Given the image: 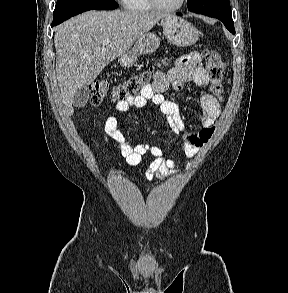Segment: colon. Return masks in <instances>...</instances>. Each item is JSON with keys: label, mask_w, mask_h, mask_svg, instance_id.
<instances>
[{"label": "colon", "mask_w": 288, "mask_h": 293, "mask_svg": "<svg viewBox=\"0 0 288 293\" xmlns=\"http://www.w3.org/2000/svg\"><path fill=\"white\" fill-rule=\"evenodd\" d=\"M207 61V71L210 81V91L218 98L223 94V76L225 65L220 55L215 49H207L204 53ZM154 69L151 67L140 74L134 75L124 82L112 88V99L115 102L125 101L128 98L137 96L143 89L150 85V80ZM110 84L107 80H97L91 86V102L100 104L107 96Z\"/></svg>", "instance_id": "colon-1"}]
</instances>
